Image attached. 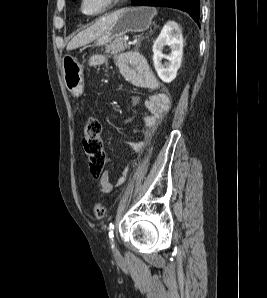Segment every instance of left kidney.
Listing matches in <instances>:
<instances>
[{
    "label": "left kidney",
    "instance_id": "1",
    "mask_svg": "<svg viewBox=\"0 0 267 298\" xmlns=\"http://www.w3.org/2000/svg\"><path fill=\"white\" fill-rule=\"evenodd\" d=\"M169 46V55L162 53L163 48ZM153 62L159 78L165 82H172L181 66L183 56V36L179 25L174 21H168L153 44ZM168 60L162 64V59Z\"/></svg>",
    "mask_w": 267,
    "mask_h": 298
}]
</instances>
